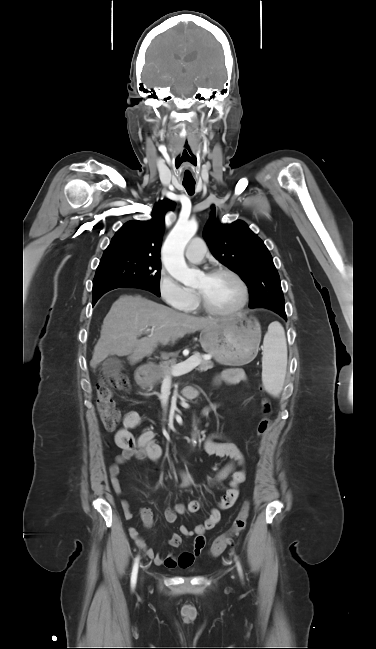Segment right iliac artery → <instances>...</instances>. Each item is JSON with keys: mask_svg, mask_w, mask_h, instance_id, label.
Here are the masks:
<instances>
[{"mask_svg": "<svg viewBox=\"0 0 376 649\" xmlns=\"http://www.w3.org/2000/svg\"><path fill=\"white\" fill-rule=\"evenodd\" d=\"M138 565H139V557L135 559V563L133 565V570H132V575H131V586L134 588L136 581H137V573H138Z\"/></svg>", "mask_w": 376, "mask_h": 649, "instance_id": "82829eb1", "label": "right iliac artery"}]
</instances>
